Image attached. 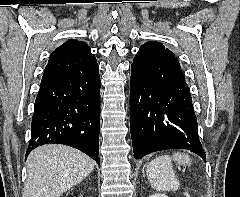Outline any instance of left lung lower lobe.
Returning <instances> with one entry per match:
<instances>
[{
  "label": "left lung lower lobe",
  "mask_w": 240,
  "mask_h": 197,
  "mask_svg": "<svg viewBox=\"0 0 240 197\" xmlns=\"http://www.w3.org/2000/svg\"><path fill=\"white\" fill-rule=\"evenodd\" d=\"M130 88V131L136 159L178 148L206 161L184 75L131 66Z\"/></svg>",
  "instance_id": "left-lung-lower-lobe-1"
}]
</instances>
